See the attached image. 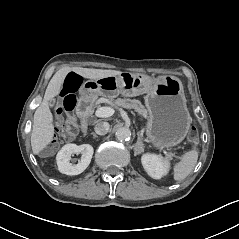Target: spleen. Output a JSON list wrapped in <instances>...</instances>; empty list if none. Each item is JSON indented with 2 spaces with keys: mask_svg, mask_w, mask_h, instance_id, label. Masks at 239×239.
Returning <instances> with one entry per match:
<instances>
[{
  "mask_svg": "<svg viewBox=\"0 0 239 239\" xmlns=\"http://www.w3.org/2000/svg\"><path fill=\"white\" fill-rule=\"evenodd\" d=\"M197 159V150L185 152L182 155L181 160L173 166V179L175 181L184 180L192 172L197 163Z\"/></svg>",
  "mask_w": 239,
  "mask_h": 239,
  "instance_id": "1",
  "label": "spleen"
}]
</instances>
